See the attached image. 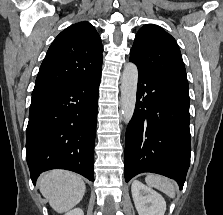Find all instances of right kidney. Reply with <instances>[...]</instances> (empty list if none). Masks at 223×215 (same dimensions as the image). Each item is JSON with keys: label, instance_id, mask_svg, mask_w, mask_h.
Instances as JSON below:
<instances>
[{"label": "right kidney", "instance_id": "obj_1", "mask_svg": "<svg viewBox=\"0 0 223 215\" xmlns=\"http://www.w3.org/2000/svg\"><path fill=\"white\" fill-rule=\"evenodd\" d=\"M65 215H84L83 209H80V207H75V209H70V211H67Z\"/></svg>", "mask_w": 223, "mask_h": 215}]
</instances>
